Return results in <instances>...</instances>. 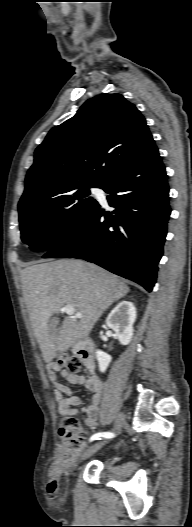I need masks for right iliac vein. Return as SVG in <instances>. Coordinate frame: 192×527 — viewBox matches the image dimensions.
I'll return each mask as SVG.
<instances>
[{"label": "right iliac vein", "mask_w": 192, "mask_h": 527, "mask_svg": "<svg viewBox=\"0 0 192 527\" xmlns=\"http://www.w3.org/2000/svg\"><path fill=\"white\" fill-rule=\"evenodd\" d=\"M123 420H124V416L123 414H118L116 420H115V424H114V432L117 433L120 431L121 427H122V423H123ZM106 442H108V440H104L102 442H98L96 444H94L93 446H91L87 452L85 453V455L83 456V458H88L90 457L92 454H94L96 451H98Z\"/></svg>", "instance_id": "right-iliac-vein-1"}]
</instances>
